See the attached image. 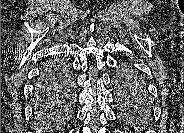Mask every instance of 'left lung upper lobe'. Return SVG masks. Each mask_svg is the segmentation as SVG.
<instances>
[{
  "mask_svg": "<svg viewBox=\"0 0 184 133\" xmlns=\"http://www.w3.org/2000/svg\"><path fill=\"white\" fill-rule=\"evenodd\" d=\"M121 90L120 102L133 116L143 117L150 107L146 98V89L138 76L131 69H123L117 77Z\"/></svg>",
  "mask_w": 184,
  "mask_h": 133,
  "instance_id": "left-lung-upper-lobe-1",
  "label": "left lung upper lobe"
}]
</instances>
